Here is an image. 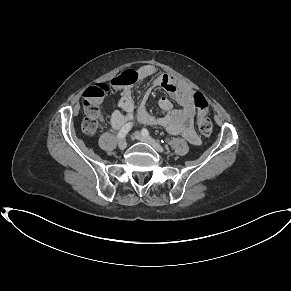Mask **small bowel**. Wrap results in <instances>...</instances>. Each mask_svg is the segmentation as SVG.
<instances>
[{
	"instance_id": "small-bowel-1",
	"label": "small bowel",
	"mask_w": 291,
	"mask_h": 291,
	"mask_svg": "<svg viewBox=\"0 0 291 291\" xmlns=\"http://www.w3.org/2000/svg\"><path fill=\"white\" fill-rule=\"evenodd\" d=\"M155 66L147 64L139 68L138 78L145 79L156 73ZM153 88H162L180 106L174 109L172 102L167 97L159 99V106L163 111L160 117L148 113L145 107L136 109L133 102L131 87L123 88L118 107L110 113V125L114 130L121 128L127 121L135 120L140 124L160 126L166 128L170 134L183 135L191 144L198 145L200 138L194 130L193 118L195 108L193 105V88L186 82L167 74L160 73L152 83Z\"/></svg>"
}]
</instances>
